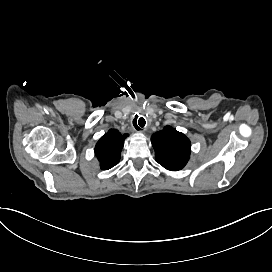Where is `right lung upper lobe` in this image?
<instances>
[{
	"label": "right lung upper lobe",
	"mask_w": 272,
	"mask_h": 272,
	"mask_svg": "<svg viewBox=\"0 0 272 272\" xmlns=\"http://www.w3.org/2000/svg\"><path fill=\"white\" fill-rule=\"evenodd\" d=\"M127 134L121 135L116 129H110L96 144L95 154L103 170H108L120 161L121 150Z\"/></svg>",
	"instance_id": "cb5924a9"
}]
</instances>
